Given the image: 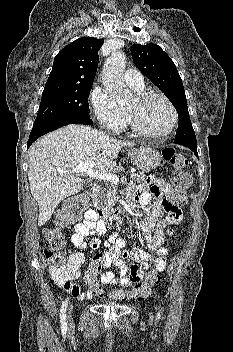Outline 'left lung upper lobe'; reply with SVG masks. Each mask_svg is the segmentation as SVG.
<instances>
[{"mask_svg":"<svg viewBox=\"0 0 233 352\" xmlns=\"http://www.w3.org/2000/svg\"><path fill=\"white\" fill-rule=\"evenodd\" d=\"M131 54L137 68L167 96L178 112L179 126L174 143L195 144L183 83L174 62L160 46L152 43L134 44Z\"/></svg>","mask_w":233,"mask_h":352,"instance_id":"5c2ea615","label":"left lung upper lobe"}]
</instances>
